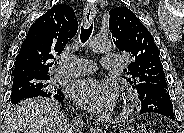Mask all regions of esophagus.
Wrapping results in <instances>:
<instances>
[{
  "label": "esophagus",
  "mask_w": 184,
  "mask_h": 133,
  "mask_svg": "<svg viewBox=\"0 0 184 133\" xmlns=\"http://www.w3.org/2000/svg\"><path fill=\"white\" fill-rule=\"evenodd\" d=\"M95 15H96V10L94 5L87 4L83 11V19H84L85 25L90 24L91 21L95 18ZM93 131L98 133L100 132V129L97 127V128H94Z\"/></svg>",
  "instance_id": "34e87169"
}]
</instances>
